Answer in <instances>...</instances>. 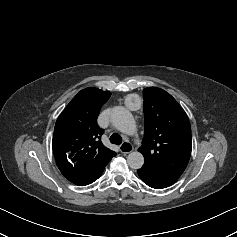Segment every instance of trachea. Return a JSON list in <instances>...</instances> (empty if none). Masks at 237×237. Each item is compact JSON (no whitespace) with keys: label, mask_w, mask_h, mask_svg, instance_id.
<instances>
[{"label":"trachea","mask_w":237,"mask_h":237,"mask_svg":"<svg viewBox=\"0 0 237 237\" xmlns=\"http://www.w3.org/2000/svg\"><path fill=\"white\" fill-rule=\"evenodd\" d=\"M110 142L112 144L120 145L122 143V138H121V136L119 134L114 133L110 137Z\"/></svg>","instance_id":"3493384b"}]
</instances>
